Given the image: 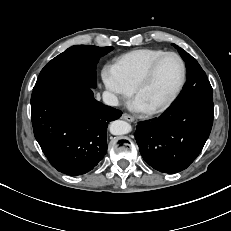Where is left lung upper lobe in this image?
<instances>
[{"instance_id":"5c2ea615","label":"left lung upper lobe","mask_w":231,"mask_h":231,"mask_svg":"<svg viewBox=\"0 0 231 231\" xmlns=\"http://www.w3.org/2000/svg\"><path fill=\"white\" fill-rule=\"evenodd\" d=\"M174 47L178 49L181 57L186 62L187 69V83L174 102L187 99L213 100V90L210 82L196 59L177 45H174Z\"/></svg>"}]
</instances>
